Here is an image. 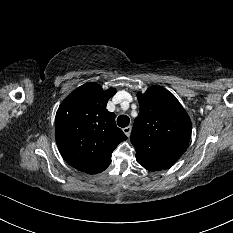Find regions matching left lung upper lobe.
<instances>
[{"instance_id": "5c2ea615", "label": "left lung upper lobe", "mask_w": 233, "mask_h": 233, "mask_svg": "<svg viewBox=\"0 0 233 233\" xmlns=\"http://www.w3.org/2000/svg\"><path fill=\"white\" fill-rule=\"evenodd\" d=\"M138 101L140 113L130 137L136 159L159 170L168 169L189 144L190 118L176 97L160 86L139 93Z\"/></svg>"}]
</instances>
